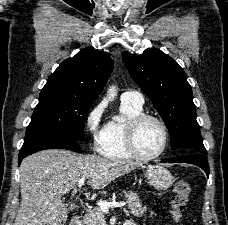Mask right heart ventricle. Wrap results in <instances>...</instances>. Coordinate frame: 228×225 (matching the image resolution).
I'll list each match as a JSON object with an SVG mask.
<instances>
[{
  "label": "right heart ventricle",
  "instance_id": "e07e8e85",
  "mask_svg": "<svg viewBox=\"0 0 228 225\" xmlns=\"http://www.w3.org/2000/svg\"><path fill=\"white\" fill-rule=\"evenodd\" d=\"M123 121H111L97 144L98 152L109 158L127 159L135 156L129 150L126 140L128 122L134 116L143 113V107L121 103Z\"/></svg>",
  "mask_w": 228,
  "mask_h": 225
}]
</instances>
